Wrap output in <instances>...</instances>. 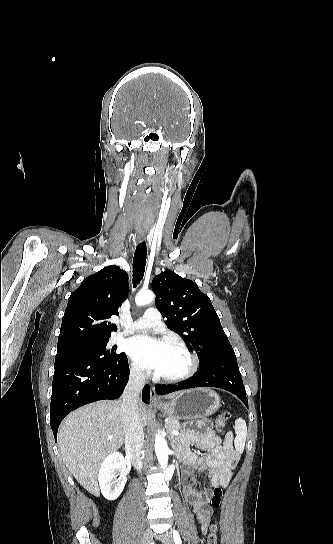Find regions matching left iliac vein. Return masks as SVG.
Returning a JSON list of instances; mask_svg holds the SVG:
<instances>
[{
  "mask_svg": "<svg viewBox=\"0 0 333 544\" xmlns=\"http://www.w3.org/2000/svg\"><path fill=\"white\" fill-rule=\"evenodd\" d=\"M160 539L164 544H173V534L171 531H166L164 534L160 535Z\"/></svg>",
  "mask_w": 333,
  "mask_h": 544,
  "instance_id": "left-iliac-vein-1",
  "label": "left iliac vein"
}]
</instances>
